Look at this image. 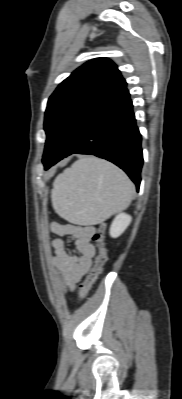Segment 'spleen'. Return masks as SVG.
Returning a JSON list of instances; mask_svg holds the SVG:
<instances>
[{"instance_id":"3e777b00","label":"spleen","mask_w":182,"mask_h":399,"mask_svg":"<svg viewBox=\"0 0 182 399\" xmlns=\"http://www.w3.org/2000/svg\"><path fill=\"white\" fill-rule=\"evenodd\" d=\"M133 195L134 185L121 169L86 156L56 177L51 200L55 212L65 220L93 225L126 208Z\"/></svg>"}]
</instances>
